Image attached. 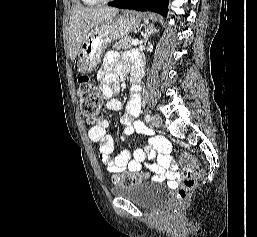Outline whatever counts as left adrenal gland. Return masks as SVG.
<instances>
[{
  "label": "left adrenal gland",
  "mask_w": 257,
  "mask_h": 237,
  "mask_svg": "<svg viewBox=\"0 0 257 237\" xmlns=\"http://www.w3.org/2000/svg\"><path fill=\"white\" fill-rule=\"evenodd\" d=\"M158 30L156 28L150 27L148 29H145V32L142 33V36L144 38V40L142 41L144 44L147 43L148 38L150 37L151 34L157 32Z\"/></svg>",
  "instance_id": "1"
}]
</instances>
